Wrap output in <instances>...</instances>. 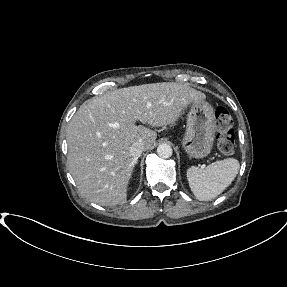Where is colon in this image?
<instances>
[{
    "mask_svg": "<svg viewBox=\"0 0 287 287\" xmlns=\"http://www.w3.org/2000/svg\"><path fill=\"white\" fill-rule=\"evenodd\" d=\"M215 119L218 149L224 154H230L235 149L233 118L226 108L218 107L215 111Z\"/></svg>",
    "mask_w": 287,
    "mask_h": 287,
    "instance_id": "obj_1",
    "label": "colon"
}]
</instances>
